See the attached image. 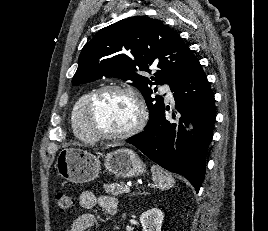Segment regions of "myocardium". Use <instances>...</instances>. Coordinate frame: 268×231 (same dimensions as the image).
Masks as SVG:
<instances>
[{"mask_svg": "<svg viewBox=\"0 0 268 231\" xmlns=\"http://www.w3.org/2000/svg\"><path fill=\"white\" fill-rule=\"evenodd\" d=\"M111 92L127 95L134 101L137 107L138 118L136 122L130 128L121 132L100 131L95 129L92 123V113L96 102L101 96ZM84 119L86 126L94 139L122 140L139 133L145 127L147 110L144 101L133 89L120 85H105L93 91L88 97L84 108Z\"/></svg>", "mask_w": 268, "mask_h": 231, "instance_id": "obj_1", "label": "myocardium"}]
</instances>
